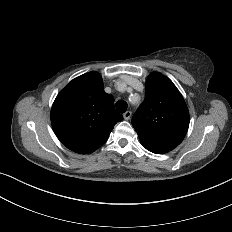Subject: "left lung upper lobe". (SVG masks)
<instances>
[{
  "mask_svg": "<svg viewBox=\"0 0 232 232\" xmlns=\"http://www.w3.org/2000/svg\"><path fill=\"white\" fill-rule=\"evenodd\" d=\"M145 89L144 103L134 114L132 125L146 149L169 152L188 131V108L173 82L161 73H151Z\"/></svg>",
  "mask_w": 232,
  "mask_h": 232,
  "instance_id": "left-lung-upper-lobe-1",
  "label": "left lung upper lobe"
}]
</instances>
